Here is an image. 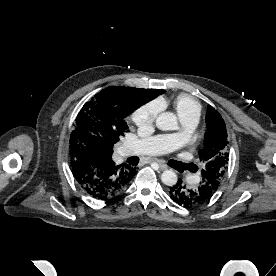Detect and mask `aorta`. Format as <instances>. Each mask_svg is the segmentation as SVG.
<instances>
[{
    "label": "aorta",
    "instance_id": "obj_1",
    "mask_svg": "<svg viewBox=\"0 0 276 276\" xmlns=\"http://www.w3.org/2000/svg\"><path fill=\"white\" fill-rule=\"evenodd\" d=\"M156 126L162 131L177 130V117L171 112H163L156 118ZM161 180L167 186H174L177 183L178 177L173 170H166L161 174Z\"/></svg>",
    "mask_w": 276,
    "mask_h": 276
}]
</instances>
